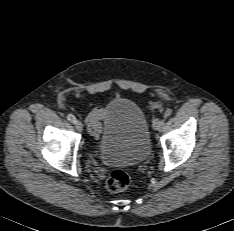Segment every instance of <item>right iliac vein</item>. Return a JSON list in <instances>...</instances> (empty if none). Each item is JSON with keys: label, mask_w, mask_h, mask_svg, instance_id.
<instances>
[{"label": "right iliac vein", "mask_w": 234, "mask_h": 231, "mask_svg": "<svg viewBox=\"0 0 234 231\" xmlns=\"http://www.w3.org/2000/svg\"><path fill=\"white\" fill-rule=\"evenodd\" d=\"M74 125H75V127H76V129H77L78 131H82V130H83V125H82V123H81L80 121L76 120V121L74 122Z\"/></svg>", "instance_id": "63e3f726"}]
</instances>
